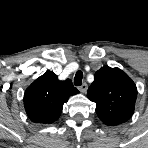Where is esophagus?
Instances as JSON below:
<instances>
[{"label": "esophagus", "instance_id": "obj_1", "mask_svg": "<svg viewBox=\"0 0 148 148\" xmlns=\"http://www.w3.org/2000/svg\"><path fill=\"white\" fill-rule=\"evenodd\" d=\"M79 90L82 92V93H85L87 91V84L84 83L82 84L81 86H79Z\"/></svg>", "mask_w": 148, "mask_h": 148}]
</instances>
